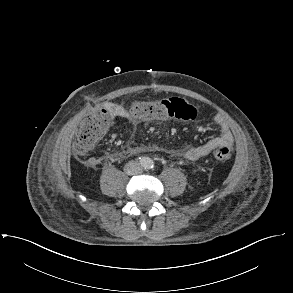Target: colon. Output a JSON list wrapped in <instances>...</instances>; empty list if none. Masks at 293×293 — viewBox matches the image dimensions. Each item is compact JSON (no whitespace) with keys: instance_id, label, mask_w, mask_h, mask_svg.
<instances>
[{"instance_id":"5ec220e1","label":"colon","mask_w":293,"mask_h":293,"mask_svg":"<svg viewBox=\"0 0 293 293\" xmlns=\"http://www.w3.org/2000/svg\"><path fill=\"white\" fill-rule=\"evenodd\" d=\"M133 118L143 121H158L164 118H178L192 120L197 110L182 98L171 97L158 101H138L130 108ZM112 121L108 110L102 109L90 114L79 126L74 142L75 154L83 158L90 149L105 134ZM231 150L228 146L216 144L212 156L216 161L224 162L230 158Z\"/></svg>"}]
</instances>
